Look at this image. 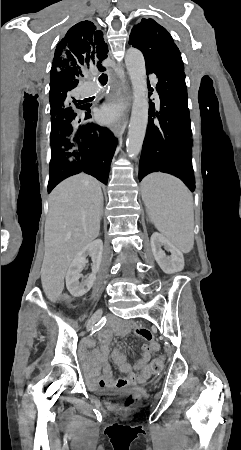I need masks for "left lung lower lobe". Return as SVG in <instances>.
Instances as JSON below:
<instances>
[{
  "label": "left lung lower lobe",
  "mask_w": 241,
  "mask_h": 450,
  "mask_svg": "<svg viewBox=\"0 0 241 450\" xmlns=\"http://www.w3.org/2000/svg\"><path fill=\"white\" fill-rule=\"evenodd\" d=\"M170 50L154 63H146L147 73H155L159 80L160 111L155 113L154 103L150 101L139 181L149 173L161 171L177 176L193 191L191 122L184 64L177 46ZM155 115L157 118H152Z\"/></svg>",
  "instance_id": "0a47b994"
}]
</instances>
